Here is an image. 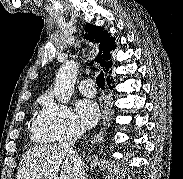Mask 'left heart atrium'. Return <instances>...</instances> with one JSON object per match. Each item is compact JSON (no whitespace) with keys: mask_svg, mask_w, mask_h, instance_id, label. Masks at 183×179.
<instances>
[{"mask_svg":"<svg viewBox=\"0 0 183 179\" xmlns=\"http://www.w3.org/2000/svg\"><path fill=\"white\" fill-rule=\"evenodd\" d=\"M76 112L80 122L87 128L93 127L100 117V109L92 100H80L76 105Z\"/></svg>","mask_w":183,"mask_h":179,"instance_id":"obj_1","label":"left heart atrium"}]
</instances>
